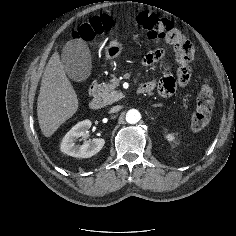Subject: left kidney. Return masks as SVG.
Masks as SVG:
<instances>
[{"label": "left kidney", "instance_id": "1", "mask_svg": "<svg viewBox=\"0 0 236 236\" xmlns=\"http://www.w3.org/2000/svg\"><path fill=\"white\" fill-rule=\"evenodd\" d=\"M167 140H168V141H175V136H174V134H168V135H167Z\"/></svg>", "mask_w": 236, "mask_h": 236}]
</instances>
